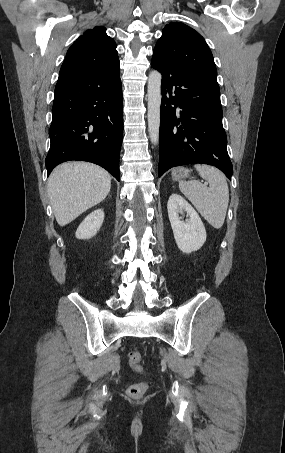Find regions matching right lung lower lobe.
Here are the masks:
<instances>
[{
    "instance_id": "98d812e1",
    "label": "right lung lower lobe",
    "mask_w": 285,
    "mask_h": 453,
    "mask_svg": "<svg viewBox=\"0 0 285 453\" xmlns=\"http://www.w3.org/2000/svg\"><path fill=\"white\" fill-rule=\"evenodd\" d=\"M47 174L69 160L105 168L119 181L123 136L120 68L111 72H62L55 87Z\"/></svg>"
}]
</instances>
